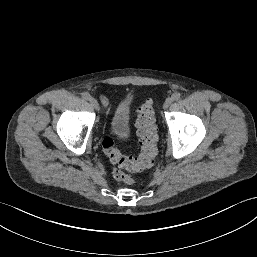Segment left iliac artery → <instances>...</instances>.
Returning <instances> with one entry per match:
<instances>
[{
    "label": "left iliac artery",
    "mask_w": 257,
    "mask_h": 257,
    "mask_svg": "<svg viewBox=\"0 0 257 257\" xmlns=\"http://www.w3.org/2000/svg\"><path fill=\"white\" fill-rule=\"evenodd\" d=\"M173 101H178L181 98V94L176 92L171 96Z\"/></svg>",
    "instance_id": "1"
}]
</instances>
